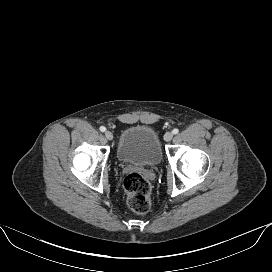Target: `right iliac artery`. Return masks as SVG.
<instances>
[{"mask_svg":"<svg viewBox=\"0 0 272 272\" xmlns=\"http://www.w3.org/2000/svg\"><path fill=\"white\" fill-rule=\"evenodd\" d=\"M100 131H101V132H105V131H106V128H105L104 126H101V127H100Z\"/></svg>","mask_w":272,"mask_h":272,"instance_id":"1","label":"right iliac artery"}]
</instances>
